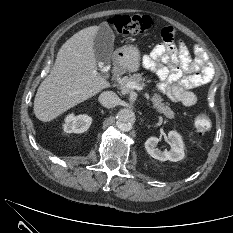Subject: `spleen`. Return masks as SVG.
I'll return each instance as SVG.
<instances>
[{
    "mask_svg": "<svg viewBox=\"0 0 233 233\" xmlns=\"http://www.w3.org/2000/svg\"><path fill=\"white\" fill-rule=\"evenodd\" d=\"M198 145H200V146H201V141H200V142H198Z\"/></svg>",
    "mask_w": 233,
    "mask_h": 233,
    "instance_id": "spleen-1",
    "label": "spleen"
}]
</instances>
